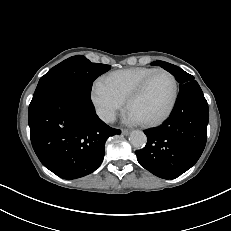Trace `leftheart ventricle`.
Segmentation results:
<instances>
[{"mask_svg": "<svg viewBox=\"0 0 231 231\" xmlns=\"http://www.w3.org/2000/svg\"><path fill=\"white\" fill-rule=\"evenodd\" d=\"M173 91L172 79L167 74L157 73L142 95L130 105L128 111L140 121L155 119L167 110Z\"/></svg>", "mask_w": 231, "mask_h": 231, "instance_id": "1", "label": "left heart ventricle"}]
</instances>
